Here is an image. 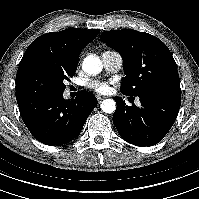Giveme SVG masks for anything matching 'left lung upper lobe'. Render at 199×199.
Listing matches in <instances>:
<instances>
[{
	"label": "left lung upper lobe",
	"instance_id": "1",
	"mask_svg": "<svg viewBox=\"0 0 199 199\" xmlns=\"http://www.w3.org/2000/svg\"><path fill=\"white\" fill-rule=\"evenodd\" d=\"M101 42L117 50L123 58L125 77L121 92L181 94L175 60L168 47L157 37L132 29L104 31Z\"/></svg>",
	"mask_w": 199,
	"mask_h": 199
}]
</instances>
